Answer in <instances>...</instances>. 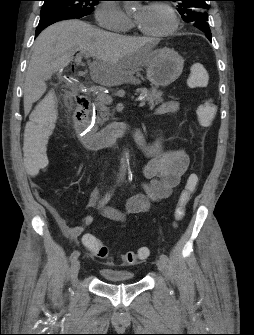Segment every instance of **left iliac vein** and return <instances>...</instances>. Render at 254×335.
Returning a JSON list of instances; mask_svg holds the SVG:
<instances>
[{"mask_svg": "<svg viewBox=\"0 0 254 335\" xmlns=\"http://www.w3.org/2000/svg\"><path fill=\"white\" fill-rule=\"evenodd\" d=\"M157 267L159 268V270H161L164 274H167V263L166 261L162 260V259H158L156 261Z\"/></svg>", "mask_w": 254, "mask_h": 335, "instance_id": "4c4485c4", "label": "left iliac vein"}]
</instances>
